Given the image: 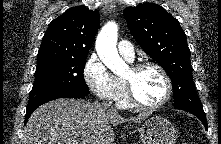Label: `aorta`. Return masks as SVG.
I'll use <instances>...</instances> for the list:
<instances>
[{
    "mask_svg": "<svg viewBox=\"0 0 221 144\" xmlns=\"http://www.w3.org/2000/svg\"><path fill=\"white\" fill-rule=\"evenodd\" d=\"M118 26L115 22H108L103 26L96 39V51L106 67L120 76L128 70V65L119 56L116 43Z\"/></svg>",
    "mask_w": 221,
    "mask_h": 144,
    "instance_id": "762f6f07",
    "label": "aorta"
}]
</instances>
